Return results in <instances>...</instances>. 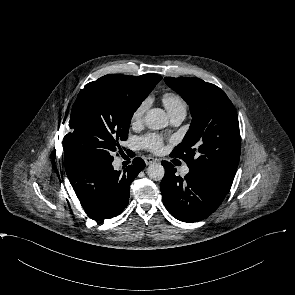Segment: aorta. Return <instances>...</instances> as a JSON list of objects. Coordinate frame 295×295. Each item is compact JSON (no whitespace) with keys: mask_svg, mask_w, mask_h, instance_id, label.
Masks as SVG:
<instances>
[{"mask_svg":"<svg viewBox=\"0 0 295 295\" xmlns=\"http://www.w3.org/2000/svg\"><path fill=\"white\" fill-rule=\"evenodd\" d=\"M145 125L152 130H160L168 125V117L163 109L153 108L145 115ZM148 177L154 181H160L164 177L165 170L160 163H153L147 168Z\"/></svg>","mask_w":295,"mask_h":295,"instance_id":"obj_1","label":"aorta"}]
</instances>
